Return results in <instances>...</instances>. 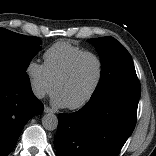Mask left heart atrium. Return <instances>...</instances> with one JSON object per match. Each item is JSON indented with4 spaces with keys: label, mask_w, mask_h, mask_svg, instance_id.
Returning a JSON list of instances; mask_svg holds the SVG:
<instances>
[{
    "label": "left heart atrium",
    "mask_w": 156,
    "mask_h": 156,
    "mask_svg": "<svg viewBox=\"0 0 156 156\" xmlns=\"http://www.w3.org/2000/svg\"><path fill=\"white\" fill-rule=\"evenodd\" d=\"M52 103L56 107H60V108L67 107V104L65 103L63 98L60 96V94L57 92H55L52 96Z\"/></svg>",
    "instance_id": "obj_1"
}]
</instances>
